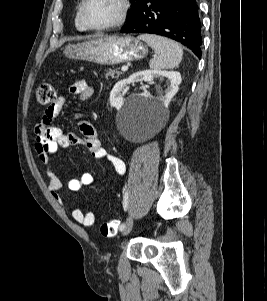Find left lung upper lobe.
<instances>
[{"mask_svg":"<svg viewBox=\"0 0 267 301\" xmlns=\"http://www.w3.org/2000/svg\"><path fill=\"white\" fill-rule=\"evenodd\" d=\"M145 0H130L131 8L127 12V23H131L137 17Z\"/></svg>","mask_w":267,"mask_h":301,"instance_id":"left-lung-upper-lobe-1","label":"left lung upper lobe"}]
</instances>
